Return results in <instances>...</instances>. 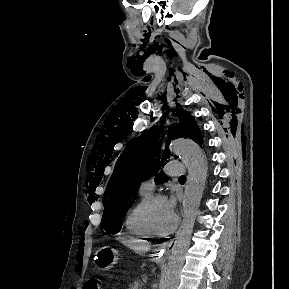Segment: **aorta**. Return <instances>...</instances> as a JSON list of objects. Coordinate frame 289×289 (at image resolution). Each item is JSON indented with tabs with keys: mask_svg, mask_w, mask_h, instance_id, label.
<instances>
[{
	"mask_svg": "<svg viewBox=\"0 0 289 289\" xmlns=\"http://www.w3.org/2000/svg\"><path fill=\"white\" fill-rule=\"evenodd\" d=\"M170 152L178 156L188 168V177L183 199L182 222L168 260L162 289H177L200 201L207 179V160L200 146L188 139L171 141Z\"/></svg>",
	"mask_w": 289,
	"mask_h": 289,
	"instance_id": "aorta-1",
	"label": "aorta"
}]
</instances>
